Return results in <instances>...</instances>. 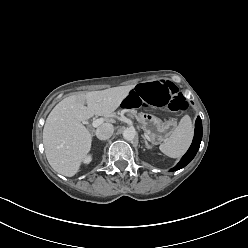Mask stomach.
<instances>
[{"mask_svg":"<svg viewBox=\"0 0 248 248\" xmlns=\"http://www.w3.org/2000/svg\"><path fill=\"white\" fill-rule=\"evenodd\" d=\"M139 119L147 139L153 145L166 141L176 127L173 119L162 120L149 113H141Z\"/></svg>","mask_w":248,"mask_h":248,"instance_id":"obj_1","label":"stomach"}]
</instances>
